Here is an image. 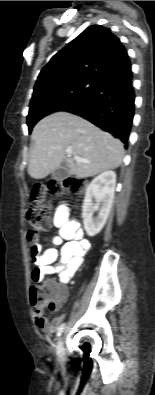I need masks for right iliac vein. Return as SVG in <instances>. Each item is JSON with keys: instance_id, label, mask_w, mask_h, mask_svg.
I'll return each mask as SVG.
<instances>
[{"instance_id": "1", "label": "right iliac vein", "mask_w": 155, "mask_h": 395, "mask_svg": "<svg viewBox=\"0 0 155 395\" xmlns=\"http://www.w3.org/2000/svg\"><path fill=\"white\" fill-rule=\"evenodd\" d=\"M56 354L57 358L60 362L65 360V350H64V343H63V337H61L56 345Z\"/></svg>"}]
</instances>
